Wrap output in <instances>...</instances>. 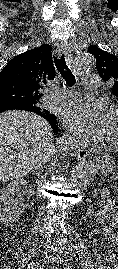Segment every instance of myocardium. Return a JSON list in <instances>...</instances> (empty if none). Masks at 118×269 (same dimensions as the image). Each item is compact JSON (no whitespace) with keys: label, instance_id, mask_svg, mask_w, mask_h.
I'll return each instance as SVG.
<instances>
[{"label":"myocardium","instance_id":"myocardium-1","mask_svg":"<svg viewBox=\"0 0 118 269\" xmlns=\"http://www.w3.org/2000/svg\"><path fill=\"white\" fill-rule=\"evenodd\" d=\"M113 112H117V113H118V106H115V107L113 108ZM107 146L112 147V148L118 150V142H112V141H109V144H108Z\"/></svg>","mask_w":118,"mask_h":269}]
</instances>
